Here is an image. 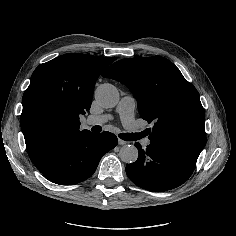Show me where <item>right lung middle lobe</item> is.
Wrapping results in <instances>:
<instances>
[{"instance_id": "obj_1", "label": "right lung middle lobe", "mask_w": 236, "mask_h": 236, "mask_svg": "<svg viewBox=\"0 0 236 236\" xmlns=\"http://www.w3.org/2000/svg\"><path fill=\"white\" fill-rule=\"evenodd\" d=\"M42 122L45 126L51 127L54 125L55 120L53 119V117L47 115L43 117Z\"/></svg>"}]
</instances>
